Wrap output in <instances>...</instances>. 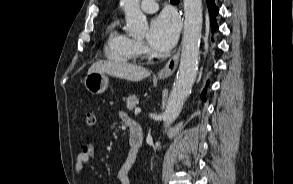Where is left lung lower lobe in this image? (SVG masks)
Instances as JSON below:
<instances>
[{"label":"left lung lower lobe","mask_w":293,"mask_h":184,"mask_svg":"<svg viewBox=\"0 0 293 184\" xmlns=\"http://www.w3.org/2000/svg\"><path fill=\"white\" fill-rule=\"evenodd\" d=\"M207 5H208L209 13H210V16H211L212 31H215L217 29V24H216V21H215V16L218 14L219 9L216 7V5L214 3V0H207ZM204 93H205V91L202 94L203 100H205L204 99Z\"/></svg>","instance_id":"obj_1"}]
</instances>
